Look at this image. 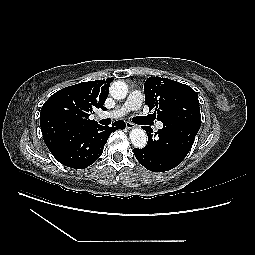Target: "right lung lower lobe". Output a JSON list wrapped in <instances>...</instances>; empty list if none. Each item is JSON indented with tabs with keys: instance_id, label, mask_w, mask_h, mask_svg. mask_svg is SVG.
<instances>
[{
	"instance_id": "1",
	"label": "right lung lower lobe",
	"mask_w": 255,
	"mask_h": 255,
	"mask_svg": "<svg viewBox=\"0 0 255 255\" xmlns=\"http://www.w3.org/2000/svg\"><path fill=\"white\" fill-rule=\"evenodd\" d=\"M123 128H125L123 121L113 123L112 127L101 125L89 127L59 144L51 153L67 167L86 168L101 156L109 135L114 130Z\"/></svg>"
}]
</instances>
